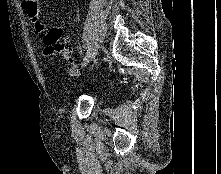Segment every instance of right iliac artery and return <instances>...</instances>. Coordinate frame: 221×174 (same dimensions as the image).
I'll use <instances>...</instances> for the list:
<instances>
[{
  "label": "right iliac artery",
  "instance_id": "1",
  "mask_svg": "<svg viewBox=\"0 0 221 174\" xmlns=\"http://www.w3.org/2000/svg\"><path fill=\"white\" fill-rule=\"evenodd\" d=\"M95 64H97V61H94ZM70 75L72 76H76L78 75V69L76 68H71L70 71H69Z\"/></svg>",
  "mask_w": 221,
  "mask_h": 174
}]
</instances>
